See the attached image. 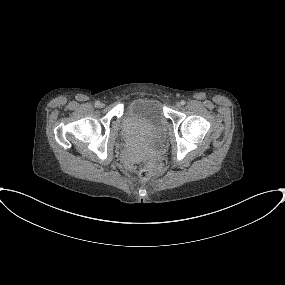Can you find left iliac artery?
Returning <instances> with one entry per match:
<instances>
[{"label": "left iliac artery", "instance_id": "44dca946", "mask_svg": "<svg viewBox=\"0 0 285 285\" xmlns=\"http://www.w3.org/2000/svg\"><path fill=\"white\" fill-rule=\"evenodd\" d=\"M180 103H181V105H185V101L184 100H182Z\"/></svg>", "mask_w": 285, "mask_h": 285}]
</instances>
